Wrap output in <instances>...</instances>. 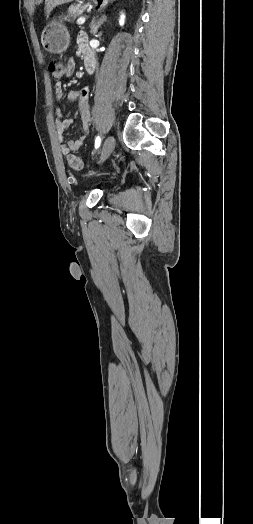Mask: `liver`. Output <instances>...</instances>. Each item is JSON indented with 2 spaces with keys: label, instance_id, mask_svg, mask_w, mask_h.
I'll return each mask as SVG.
<instances>
[{
  "label": "liver",
  "instance_id": "6515ba94",
  "mask_svg": "<svg viewBox=\"0 0 253 524\" xmlns=\"http://www.w3.org/2000/svg\"><path fill=\"white\" fill-rule=\"evenodd\" d=\"M72 0H45L46 15L49 16L51 11L58 5L69 3Z\"/></svg>",
  "mask_w": 253,
  "mask_h": 524
}]
</instances>
